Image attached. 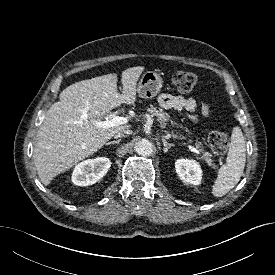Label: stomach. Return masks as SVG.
<instances>
[{"label": "stomach", "mask_w": 275, "mask_h": 275, "mask_svg": "<svg viewBox=\"0 0 275 275\" xmlns=\"http://www.w3.org/2000/svg\"><path fill=\"white\" fill-rule=\"evenodd\" d=\"M162 85L163 81L159 74L154 71H147L138 83V95L144 99H151L160 92Z\"/></svg>", "instance_id": "stomach-1"}]
</instances>
